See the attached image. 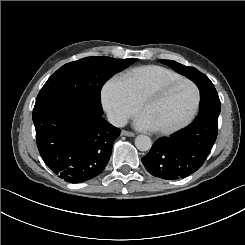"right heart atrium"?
I'll return each instance as SVG.
<instances>
[{
	"label": "right heart atrium",
	"instance_id": "d8ad5b80",
	"mask_svg": "<svg viewBox=\"0 0 245 245\" xmlns=\"http://www.w3.org/2000/svg\"><path fill=\"white\" fill-rule=\"evenodd\" d=\"M101 97L109 118L117 125L126 123L137 111V102L113 80L104 85Z\"/></svg>",
	"mask_w": 245,
	"mask_h": 245
}]
</instances>
